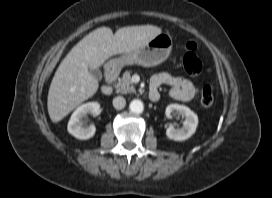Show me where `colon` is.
I'll return each mask as SVG.
<instances>
[{
	"instance_id": "obj_1",
	"label": "colon",
	"mask_w": 272,
	"mask_h": 198,
	"mask_svg": "<svg viewBox=\"0 0 272 198\" xmlns=\"http://www.w3.org/2000/svg\"><path fill=\"white\" fill-rule=\"evenodd\" d=\"M183 67L190 75H198L202 70V62L197 55V45L194 42L186 44V53L183 57ZM215 92L211 86H205L201 93V104L205 108L213 106Z\"/></svg>"
}]
</instances>
